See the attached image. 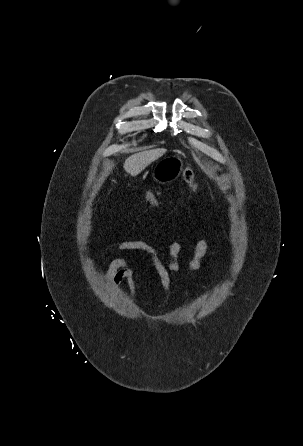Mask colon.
Here are the masks:
<instances>
[{
    "label": "colon",
    "instance_id": "colon-1",
    "mask_svg": "<svg viewBox=\"0 0 303 446\" xmlns=\"http://www.w3.org/2000/svg\"><path fill=\"white\" fill-rule=\"evenodd\" d=\"M182 178L194 191H198L199 185L197 183L195 174L191 169H183ZM158 195L159 193L157 189L151 190L146 196V202L152 204L156 200Z\"/></svg>",
    "mask_w": 303,
    "mask_h": 446
}]
</instances>
